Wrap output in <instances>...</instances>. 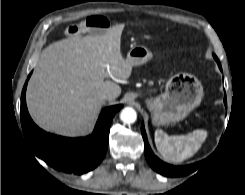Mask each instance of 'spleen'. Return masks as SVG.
Instances as JSON below:
<instances>
[{
  "label": "spleen",
  "instance_id": "spleen-1",
  "mask_svg": "<svg viewBox=\"0 0 245 195\" xmlns=\"http://www.w3.org/2000/svg\"><path fill=\"white\" fill-rule=\"evenodd\" d=\"M207 137V131L198 129L180 136H168L162 130L155 131V144L161 156L170 162L180 163L192 157Z\"/></svg>",
  "mask_w": 245,
  "mask_h": 195
}]
</instances>
